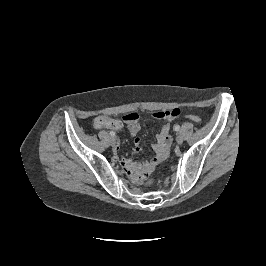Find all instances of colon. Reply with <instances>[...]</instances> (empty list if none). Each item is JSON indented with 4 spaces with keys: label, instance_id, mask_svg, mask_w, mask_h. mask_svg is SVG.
<instances>
[{
    "label": "colon",
    "instance_id": "colon-1",
    "mask_svg": "<svg viewBox=\"0 0 266 266\" xmlns=\"http://www.w3.org/2000/svg\"><path fill=\"white\" fill-rule=\"evenodd\" d=\"M187 118L190 119L193 122L199 123L201 122V118L195 114H189L187 115ZM152 183V179L147 180L146 184L150 185Z\"/></svg>",
    "mask_w": 266,
    "mask_h": 266
}]
</instances>
